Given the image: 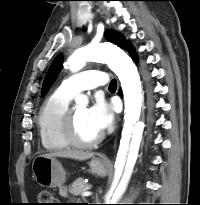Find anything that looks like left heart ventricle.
<instances>
[{
  "label": "left heart ventricle",
  "instance_id": "left-heart-ventricle-1",
  "mask_svg": "<svg viewBox=\"0 0 200 205\" xmlns=\"http://www.w3.org/2000/svg\"><path fill=\"white\" fill-rule=\"evenodd\" d=\"M75 126L77 136L84 141H89L100 135L89 118L88 108L86 106L74 107Z\"/></svg>",
  "mask_w": 200,
  "mask_h": 205
}]
</instances>
